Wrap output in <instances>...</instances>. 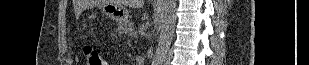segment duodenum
<instances>
[{
	"instance_id": "1",
	"label": "duodenum",
	"mask_w": 309,
	"mask_h": 65,
	"mask_svg": "<svg viewBox=\"0 0 309 65\" xmlns=\"http://www.w3.org/2000/svg\"><path fill=\"white\" fill-rule=\"evenodd\" d=\"M137 64L138 65H143L144 64L142 57H140V56L137 57Z\"/></svg>"
}]
</instances>
